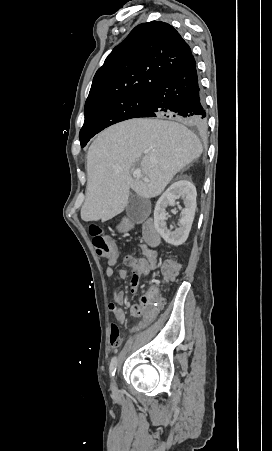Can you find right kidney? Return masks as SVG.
<instances>
[{
	"label": "right kidney",
	"mask_w": 272,
	"mask_h": 451,
	"mask_svg": "<svg viewBox=\"0 0 272 451\" xmlns=\"http://www.w3.org/2000/svg\"><path fill=\"white\" fill-rule=\"evenodd\" d=\"M180 196L183 198L185 208L181 210V218L178 222L179 227L172 231V229L167 227L168 214H166V208L167 206H175V200L180 198ZM196 196V188L191 182L179 180V182L171 184L170 188L159 198L154 210V224L158 233L164 237L167 243L181 245V243L186 241L197 208Z\"/></svg>",
	"instance_id": "1"
}]
</instances>
